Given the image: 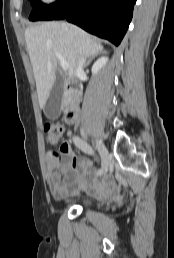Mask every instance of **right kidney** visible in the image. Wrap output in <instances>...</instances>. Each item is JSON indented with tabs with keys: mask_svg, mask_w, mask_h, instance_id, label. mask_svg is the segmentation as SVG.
<instances>
[{
	"mask_svg": "<svg viewBox=\"0 0 174 258\" xmlns=\"http://www.w3.org/2000/svg\"><path fill=\"white\" fill-rule=\"evenodd\" d=\"M108 62L107 57H101L99 58L92 66V74L96 75Z\"/></svg>",
	"mask_w": 174,
	"mask_h": 258,
	"instance_id": "ca27d5eb",
	"label": "right kidney"
}]
</instances>
